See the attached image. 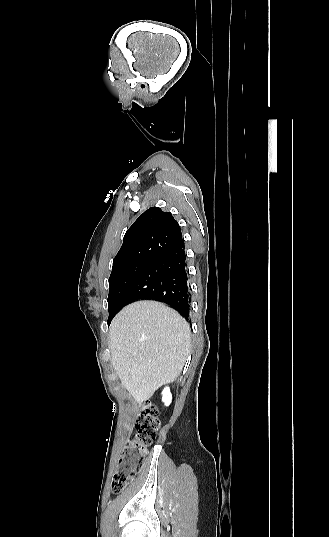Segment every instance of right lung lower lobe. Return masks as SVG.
I'll return each instance as SVG.
<instances>
[{"label":"right lung lower lobe","instance_id":"1","mask_svg":"<svg viewBox=\"0 0 329 537\" xmlns=\"http://www.w3.org/2000/svg\"><path fill=\"white\" fill-rule=\"evenodd\" d=\"M137 299L167 303L189 319L191 289L184 240L151 261L124 293L121 307Z\"/></svg>","mask_w":329,"mask_h":537}]
</instances>
